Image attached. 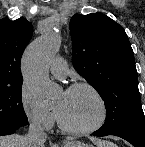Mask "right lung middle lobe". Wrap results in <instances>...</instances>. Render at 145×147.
I'll list each match as a JSON object with an SVG mask.
<instances>
[{
  "label": "right lung middle lobe",
  "instance_id": "right-lung-middle-lobe-1",
  "mask_svg": "<svg viewBox=\"0 0 145 147\" xmlns=\"http://www.w3.org/2000/svg\"><path fill=\"white\" fill-rule=\"evenodd\" d=\"M22 83L0 85V130L23 127L28 123L21 101Z\"/></svg>",
  "mask_w": 145,
  "mask_h": 147
}]
</instances>
